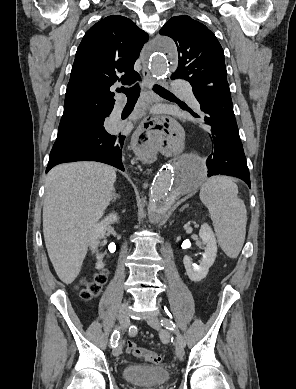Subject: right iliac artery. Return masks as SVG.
Instances as JSON below:
<instances>
[{
	"label": "right iliac artery",
	"instance_id": "obj_1",
	"mask_svg": "<svg viewBox=\"0 0 296 389\" xmlns=\"http://www.w3.org/2000/svg\"><path fill=\"white\" fill-rule=\"evenodd\" d=\"M120 338V334L118 330H115L111 336V346L115 348L118 345V340Z\"/></svg>",
	"mask_w": 296,
	"mask_h": 389
}]
</instances>
